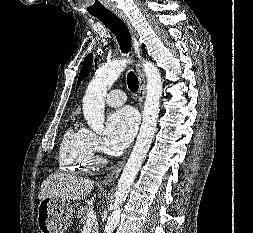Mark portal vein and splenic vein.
<instances>
[{"mask_svg": "<svg viewBox=\"0 0 253 233\" xmlns=\"http://www.w3.org/2000/svg\"><path fill=\"white\" fill-rule=\"evenodd\" d=\"M96 220V212L91 209L88 213H87V221H86V225H90L93 224Z\"/></svg>", "mask_w": 253, "mask_h": 233, "instance_id": "obj_1", "label": "portal vein and splenic vein"}]
</instances>
